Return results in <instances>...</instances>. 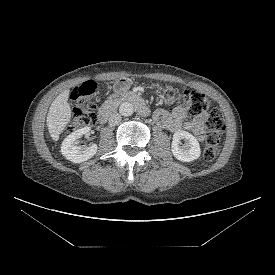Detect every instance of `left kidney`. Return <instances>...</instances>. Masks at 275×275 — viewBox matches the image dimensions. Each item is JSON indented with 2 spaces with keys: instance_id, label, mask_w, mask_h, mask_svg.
I'll use <instances>...</instances> for the list:
<instances>
[{
  "instance_id": "1",
  "label": "left kidney",
  "mask_w": 275,
  "mask_h": 275,
  "mask_svg": "<svg viewBox=\"0 0 275 275\" xmlns=\"http://www.w3.org/2000/svg\"><path fill=\"white\" fill-rule=\"evenodd\" d=\"M182 139L187 141L183 146H181ZM171 151L174 157L181 162H191L198 159L201 154L199 142L191 133L186 131L174 133Z\"/></svg>"
}]
</instances>
